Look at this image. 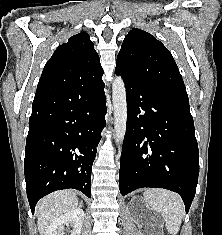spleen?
<instances>
[{
  "label": "spleen",
  "instance_id": "spleen-1",
  "mask_svg": "<svg viewBox=\"0 0 222 235\" xmlns=\"http://www.w3.org/2000/svg\"><path fill=\"white\" fill-rule=\"evenodd\" d=\"M143 195L146 203L164 219L167 231L171 235H176L185 213L182 198L174 192L163 189H148Z\"/></svg>",
  "mask_w": 222,
  "mask_h": 235
}]
</instances>
